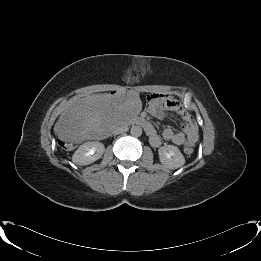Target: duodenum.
<instances>
[{"label": "duodenum", "instance_id": "1", "mask_svg": "<svg viewBox=\"0 0 261 261\" xmlns=\"http://www.w3.org/2000/svg\"><path fill=\"white\" fill-rule=\"evenodd\" d=\"M135 122L144 127V129L146 130V132L148 133L150 130H151V126H150V123L145 119V118H137L135 120Z\"/></svg>", "mask_w": 261, "mask_h": 261}]
</instances>
